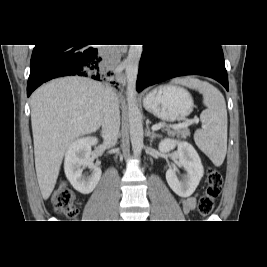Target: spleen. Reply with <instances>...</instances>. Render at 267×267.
Masks as SVG:
<instances>
[{
	"label": "spleen",
	"instance_id": "3e777b00",
	"mask_svg": "<svg viewBox=\"0 0 267 267\" xmlns=\"http://www.w3.org/2000/svg\"><path fill=\"white\" fill-rule=\"evenodd\" d=\"M172 82L198 90L203 95L207 109L200 115L203 127L196 130L194 141L214 165L220 166L227 151V110L222 93L210 83L194 77L175 79Z\"/></svg>",
	"mask_w": 267,
	"mask_h": 267
}]
</instances>
